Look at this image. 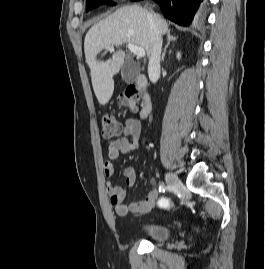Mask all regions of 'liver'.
<instances>
[{"label": "liver", "mask_w": 265, "mask_h": 269, "mask_svg": "<svg viewBox=\"0 0 265 269\" xmlns=\"http://www.w3.org/2000/svg\"><path fill=\"white\" fill-rule=\"evenodd\" d=\"M149 14L157 25L160 34L167 33V22L157 14L148 12L138 5H127L94 24L87 32L84 41L86 62L90 68L94 93L101 105H105L114 91L113 76L124 63L125 52L120 49L124 43L141 47L151 56L152 40ZM115 45L118 50L106 61L97 60V55Z\"/></svg>", "instance_id": "1"}]
</instances>
